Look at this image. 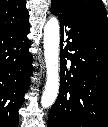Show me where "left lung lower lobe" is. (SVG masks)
I'll list each match as a JSON object with an SVG mask.
<instances>
[{"label":"left lung lower lobe","mask_w":108,"mask_h":127,"mask_svg":"<svg viewBox=\"0 0 108 127\" xmlns=\"http://www.w3.org/2000/svg\"><path fill=\"white\" fill-rule=\"evenodd\" d=\"M51 12L61 23V62L48 127H108V23L67 0H52Z\"/></svg>","instance_id":"obj_1"}]
</instances>
